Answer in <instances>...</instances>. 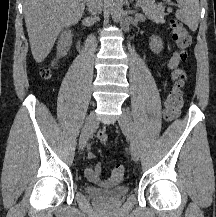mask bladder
Here are the masks:
<instances>
[{"label": "bladder", "instance_id": "1", "mask_svg": "<svg viewBox=\"0 0 216 217\" xmlns=\"http://www.w3.org/2000/svg\"><path fill=\"white\" fill-rule=\"evenodd\" d=\"M85 192L99 202L111 204L126 197L129 193V188L125 184H120L109 189H97L91 185H87L85 186Z\"/></svg>", "mask_w": 216, "mask_h": 217}]
</instances>
